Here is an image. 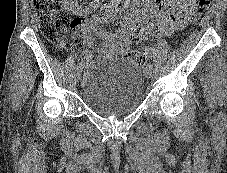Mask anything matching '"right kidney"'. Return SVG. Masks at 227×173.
<instances>
[{"label":"right kidney","instance_id":"right-kidney-1","mask_svg":"<svg viewBox=\"0 0 227 173\" xmlns=\"http://www.w3.org/2000/svg\"><path fill=\"white\" fill-rule=\"evenodd\" d=\"M65 7L68 11L78 13L81 11V7L77 4V0H64Z\"/></svg>","mask_w":227,"mask_h":173}]
</instances>
